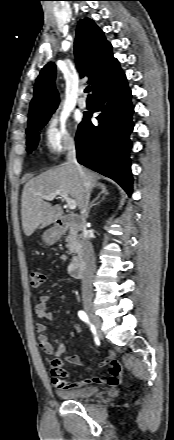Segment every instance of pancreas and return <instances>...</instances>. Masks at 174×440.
Returning a JSON list of instances; mask_svg holds the SVG:
<instances>
[{"label":"pancreas","mask_w":174,"mask_h":440,"mask_svg":"<svg viewBox=\"0 0 174 440\" xmlns=\"http://www.w3.org/2000/svg\"><path fill=\"white\" fill-rule=\"evenodd\" d=\"M78 246H79L78 236L73 231H70L66 238V247L69 249L71 253H76L78 251Z\"/></svg>","instance_id":"cf45deb5"}]
</instances>
